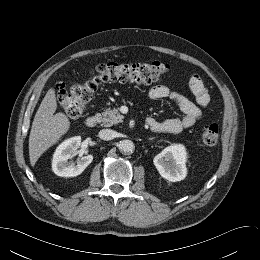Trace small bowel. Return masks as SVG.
<instances>
[{
    "label": "small bowel",
    "instance_id": "small-bowel-1",
    "mask_svg": "<svg viewBox=\"0 0 260 260\" xmlns=\"http://www.w3.org/2000/svg\"><path fill=\"white\" fill-rule=\"evenodd\" d=\"M189 87L196 98V104L184 95L164 85H157L149 90L148 97L150 100L171 99L184 114L182 117H174L163 121L150 118L147 120V124L151 130L162 133H179L183 129L192 127L201 118L202 109L207 108L210 103L208 90L198 75L190 77Z\"/></svg>",
    "mask_w": 260,
    "mask_h": 260
}]
</instances>
